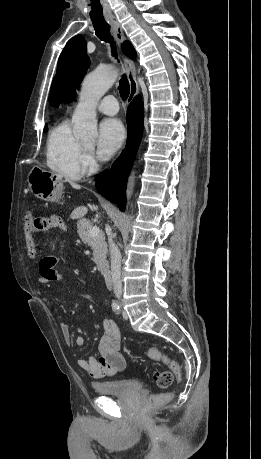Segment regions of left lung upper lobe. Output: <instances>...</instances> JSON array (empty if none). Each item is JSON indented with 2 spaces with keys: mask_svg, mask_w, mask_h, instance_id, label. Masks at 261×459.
<instances>
[{
  "mask_svg": "<svg viewBox=\"0 0 261 459\" xmlns=\"http://www.w3.org/2000/svg\"><path fill=\"white\" fill-rule=\"evenodd\" d=\"M123 52L129 57L136 56V51L129 41L123 43ZM89 63L85 40L81 36L70 39L58 60L56 75L51 86L50 104L58 106L63 99L73 101L76 86L81 83Z\"/></svg>",
  "mask_w": 261,
  "mask_h": 459,
  "instance_id": "obj_1",
  "label": "left lung upper lobe"
}]
</instances>
